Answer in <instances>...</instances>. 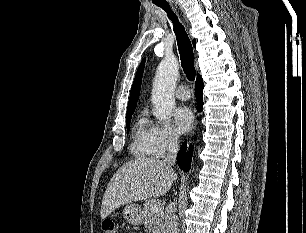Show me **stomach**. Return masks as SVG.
<instances>
[{"label": "stomach", "instance_id": "0dacf381", "mask_svg": "<svg viewBox=\"0 0 306 233\" xmlns=\"http://www.w3.org/2000/svg\"><path fill=\"white\" fill-rule=\"evenodd\" d=\"M124 219L132 225H140L143 220V211L137 204H128L123 209Z\"/></svg>", "mask_w": 306, "mask_h": 233}]
</instances>
